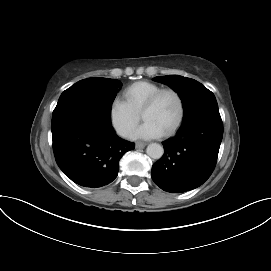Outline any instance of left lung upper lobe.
<instances>
[{
	"instance_id": "obj_1",
	"label": "left lung upper lobe",
	"mask_w": 271,
	"mask_h": 271,
	"mask_svg": "<svg viewBox=\"0 0 271 271\" xmlns=\"http://www.w3.org/2000/svg\"><path fill=\"white\" fill-rule=\"evenodd\" d=\"M154 80L168 85L178 93L184 108L183 123L200 114L219 112L214 94L194 79L169 75L158 76Z\"/></svg>"
}]
</instances>
